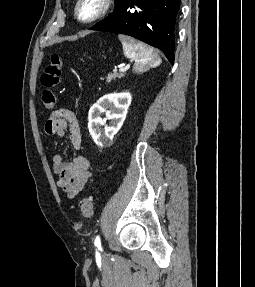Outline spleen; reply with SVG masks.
Here are the masks:
<instances>
[{"label": "spleen", "mask_w": 255, "mask_h": 287, "mask_svg": "<svg viewBox=\"0 0 255 287\" xmlns=\"http://www.w3.org/2000/svg\"><path fill=\"white\" fill-rule=\"evenodd\" d=\"M118 38L123 46L124 56L134 60L135 68H156V66H160L162 60L159 56H155L152 48L142 44V42H137V40H131L127 36H122V34ZM151 54H154V60H151Z\"/></svg>", "instance_id": "obj_1"}]
</instances>
